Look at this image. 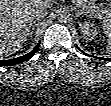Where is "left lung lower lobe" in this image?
Masks as SVG:
<instances>
[{
  "label": "left lung lower lobe",
  "mask_w": 111,
  "mask_h": 106,
  "mask_svg": "<svg viewBox=\"0 0 111 106\" xmlns=\"http://www.w3.org/2000/svg\"><path fill=\"white\" fill-rule=\"evenodd\" d=\"M84 53V52H83ZM85 54V53H84ZM86 55V54H85ZM98 59H101V60H105V61H111V58H102V57H96Z\"/></svg>",
  "instance_id": "1"
}]
</instances>
